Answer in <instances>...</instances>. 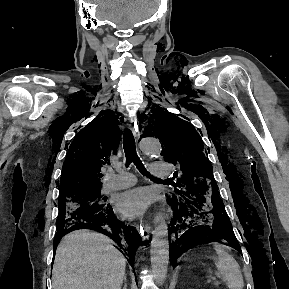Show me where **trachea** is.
<instances>
[{"instance_id": "obj_1", "label": "trachea", "mask_w": 289, "mask_h": 289, "mask_svg": "<svg viewBox=\"0 0 289 289\" xmlns=\"http://www.w3.org/2000/svg\"><path fill=\"white\" fill-rule=\"evenodd\" d=\"M123 148H124L125 157H126V164H125L126 167H128L131 163H134L140 173H142L143 175H146L147 177L153 178L146 171L144 165L142 164V161L137 156L135 140H134L132 132L129 129H126L124 131ZM154 179H156V178H154Z\"/></svg>"}]
</instances>
